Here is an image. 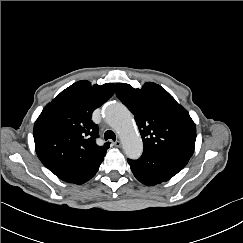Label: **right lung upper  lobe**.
Listing matches in <instances>:
<instances>
[{"instance_id":"cb5924a9","label":"right lung upper lobe","mask_w":243,"mask_h":243,"mask_svg":"<svg viewBox=\"0 0 243 243\" xmlns=\"http://www.w3.org/2000/svg\"><path fill=\"white\" fill-rule=\"evenodd\" d=\"M115 85H91L78 81L48 103L34 125L36 153L52 173L82 166L104 158L109 142L96 144L98 127L92 112L107 101Z\"/></svg>"}]
</instances>
